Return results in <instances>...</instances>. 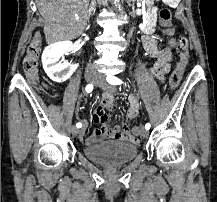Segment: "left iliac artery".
Wrapping results in <instances>:
<instances>
[{"instance_id": "44dca946", "label": "left iliac artery", "mask_w": 217, "mask_h": 202, "mask_svg": "<svg viewBox=\"0 0 217 202\" xmlns=\"http://www.w3.org/2000/svg\"><path fill=\"white\" fill-rule=\"evenodd\" d=\"M106 80L108 81V83H110V84H112V85H117V84H122V83H123L120 79H118V78H116V77H114V76H107ZM150 127H151V125H150L149 123H147V124L145 125V128H146L147 130H149Z\"/></svg>"}]
</instances>
